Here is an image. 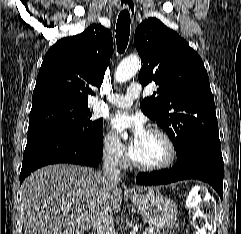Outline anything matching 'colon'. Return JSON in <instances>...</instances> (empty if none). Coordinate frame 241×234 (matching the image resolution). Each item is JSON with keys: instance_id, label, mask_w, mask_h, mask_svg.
Here are the masks:
<instances>
[{"instance_id": "colon-1", "label": "colon", "mask_w": 241, "mask_h": 234, "mask_svg": "<svg viewBox=\"0 0 241 234\" xmlns=\"http://www.w3.org/2000/svg\"><path fill=\"white\" fill-rule=\"evenodd\" d=\"M188 207L195 212L193 226L195 234H207L209 219L214 211V204L208 192L204 188H199L190 194Z\"/></svg>"}]
</instances>
